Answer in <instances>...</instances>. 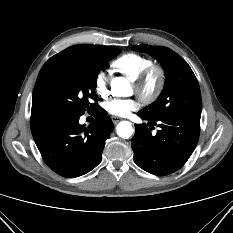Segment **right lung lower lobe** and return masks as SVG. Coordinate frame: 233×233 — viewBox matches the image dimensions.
Wrapping results in <instances>:
<instances>
[{"mask_svg":"<svg viewBox=\"0 0 233 233\" xmlns=\"http://www.w3.org/2000/svg\"><path fill=\"white\" fill-rule=\"evenodd\" d=\"M96 106L97 115L88 128L79 124V114H60L31 120L34 141L45 163L57 174L74 178L94 169L102 160L105 141L113 123Z\"/></svg>","mask_w":233,"mask_h":233,"instance_id":"1","label":"right lung lower lobe"}]
</instances>
